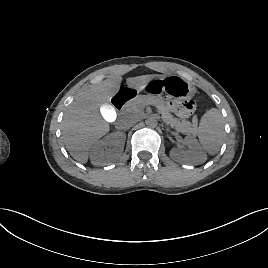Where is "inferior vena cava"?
<instances>
[{"label": "inferior vena cava", "mask_w": 268, "mask_h": 268, "mask_svg": "<svg viewBox=\"0 0 268 268\" xmlns=\"http://www.w3.org/2000/svg\"><path fill=\"white\" fill-rule=\"evenodd\" d=\"M136 122V118L133 115L124 116L118 123V128L126 130L131 128Z\"/></svg>", "instance_id": "602c4592"}]
</instances>
